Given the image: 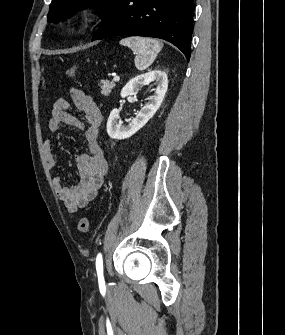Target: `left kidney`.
I'll list each match as a JSON object with an SVG mask.
<instances>
[{
  "label": "left kidney",
  "instance_id": "obj_1",
  "mask_svg": "<svg viewBox=\"0 0 285 335\" xmlns=\"http://www.w3.org/2000/svg\"><path fill=\"white\" fill-rule=\"evenodd\" d=\"M149 82H155V84H157L155 94L152 98H149L150 102L143 106L136 118L131 120L129 126H123V122L119 116L120 110H117V108L112 110L107 122V134L110 138H115V140H125V138H130V136L136 134V132H138L140 128H143L148 120L156 114L163 102V98L168 88L167 74H165V72L153 70V72H147V74H141V76L132 78V80H129L126 86L122 88L120 96L121 98L135 96V94H138L140 88L145 86V84H149Z\"/></svg>",
  "mask_w": 285,
  "mask_h": 335
}]
</instances>
